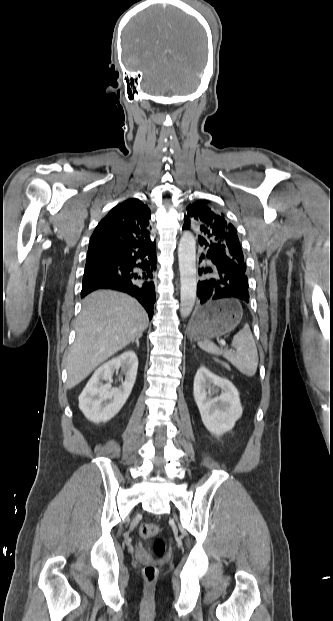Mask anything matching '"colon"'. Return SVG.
<instances>
[{
	"instance_id": "5ec220e1",
	"label": "colon",
	"mask_w": 333,
	"mask_h": 621,
	"mask_svg": "<svg viewBox=\"0 0 333 621\" xmlns=\"http://www.w3.org/2000/svg\"><path fill=\"white\" fill-rule=\"evenodd\" d=\"M160 533V528L158 525L153 523H144L139 528V535L142 538H156L153 542V551L156 556L161 557L165 552V544L161 538H158V534ZM143 577L145 581L149 584L153 583L158 575V570L153 565H148L143 569Z\"/></svg>"
}]
</instances>
